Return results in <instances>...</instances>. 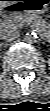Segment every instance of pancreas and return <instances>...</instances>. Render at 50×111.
Masks as SVG:
<instances>
[{
	"label": "pancreas",
	"mask_w": 50,
	"mask_h": 111,
	"mask_svg": "<svg viewBox=\"0 0 50 111\" xmlns=\"http://www.w3.org/2000/svg\"><path fill=\"white\" fill-rule=\"evenodd\" d=\"M33 22L40 30L43 29L44 22L39 16L35 14L31 15H15L6 19L3 23V27L6 29H18L22 28L25 23Z\"/></svg>",
	"instance_id": "1"
}]
</instances>
